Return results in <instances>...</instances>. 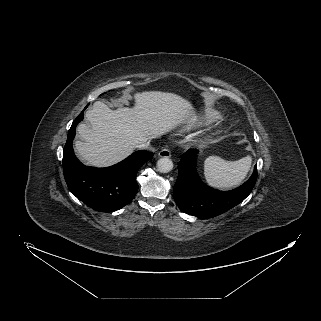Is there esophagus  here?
Listing matches in <instances>:
<instances>
[{"label": "esophagus", "instance_id": "obj_1", "mask_svg": "<svg viewBox=\"0 0 321 321\" xmlns=\"http://www.w3.org/2000/svg\"><path fill=\"white\" fill-rule=\"evenodd\" d=\"M158 156L159 157H167V158H169L171 156V152H170L169 149L164 148L161 151H159Z\"/></svg>", "mask_w": 321, "mask_h": 321}]
</instances>
